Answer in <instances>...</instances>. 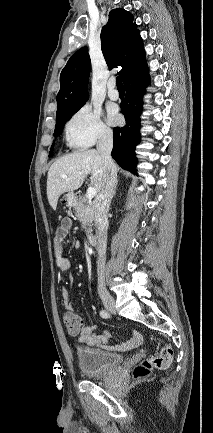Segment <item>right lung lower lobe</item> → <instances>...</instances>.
Returning a JSON list of instances; mask_svg holds the SVG:
<instances>
[{
    "instance_id": "right-lung-lower-lobe-1",
    "label": "right lung lower lobe",
    "mask_w": 213,
    "mask_h": 433,
    "mask_svg": "<svg viewBox=\"0 0 213 433\" xmlns=\"http://www.w3.org/2000/svg\"><path fill=\"white\" fill-rule=\"evenodd\" d=\"M149 74L146 61L125 81L126 97L121 102V111L126 125L115 127L112 157L125 170L136 173L135 147L140 142V115L142 98L148 85Z\"/></svg>"
}]
</instances>
